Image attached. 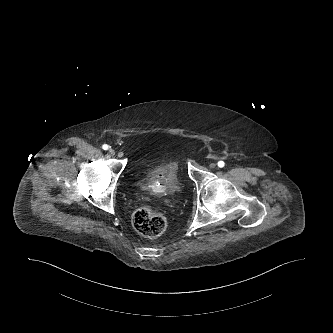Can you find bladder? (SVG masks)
<instances>
[{"mask_svg": "<svg viewBox=\"0 0 333 333\" xmlns=\"http://www.w3.org/2000/svg\"><path fill=\"white\" fill-rule=\"evenodd\" d=\"M136 184L140 189L156 195H173L180 189L177 172L169 164H156L150 167Z\"/></svg>", "mask_w": 333, "mask_h": 333, "instance_id": "31cf9c89", "label": "bladder"}]
</instances>
